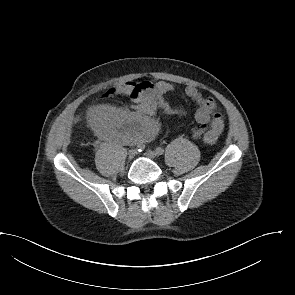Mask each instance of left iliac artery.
<instances>
[{
  "instance_id": "left-iliac-artery-1",
  "label": "left iliac artery",
  "mask_w": 295,
  "mask_h": 295,
  "mask_svg": "<svg viewBox=\"0 0 295 295\" xmlns=\"http://www.w3.org/2000/svg\"><path fill=\"white\" fill-rule=\"evenodd\" d=\"M155 151H156L157 155H163L164 154V149L162 147H157Z\"/></svg>"
}]
</instances>
